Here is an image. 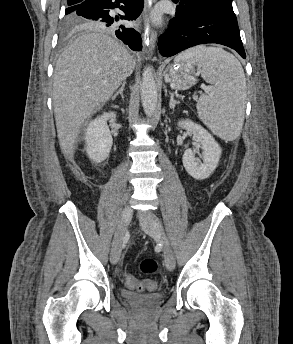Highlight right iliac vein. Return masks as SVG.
Returning a JSON list of instances; mask_svg holds the SVG:
<instances>
[{
  "label": "right iliac vein",
  "mask_w": 293,
  "mask_h": 344,
  "mask_svg": "<svg viewBox=\"0 0 293 344\" xmlns=\"http://www.w3.org/2000/svg\"><path fill=\"white\" fill-rule=\"evenodd\" d=\"M131 219L132 208L130 206H126L122 211L121 218L115 234L114 245L110 253V261L112 264H116L120 259L122 237Z\"/></svg>",
  "instance_id": "1"
}]
</instances>
